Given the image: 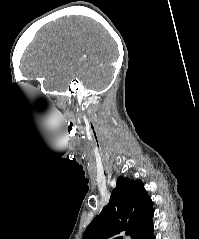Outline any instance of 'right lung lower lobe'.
Segmentation results:
<instances>
[{"instance_id": "98d812e1", "label": "right lung lower lobe", "mask_w": 199, "mask_h": 239, "mask_svg": "<svg viewBox=\"0 0 199 239\" xmlns=\"http://www.w3.org/2000/svg\"><path fill=\"white\" fill-rule=\"evenodd\" d=\"M153 230L154 227L151 219L140 229L133 239H155Z\"/></svg>"}]
</instances>
